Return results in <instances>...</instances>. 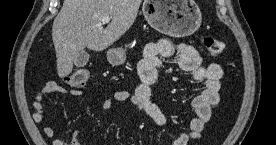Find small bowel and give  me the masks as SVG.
I'll use <instances>...</instances> for the list:
<instances>
[{
  "mask_svg": "<svg viewBox=\"0 0 276 145\" xmlns=\"http://www.w3.org/2000/svg\"><path fill=\"white\" fill-rule=\"evenodd\" d=\"M177 55L178 66L181 70L188 72L194 80L203 84L200 94L192 99V107L196 116L190 121L189 131L180 133L172 145H187L190 141L200 137L206 123L210 120L212 110L219 104L220 80L223 70L217 63L202 65L198 51L191 45L185 43L176 44L169 39H161L146 45L143 58L137 66L140 84L134 91L117 90L106 98L102 107L110 108L116 102H131L139 112L150 117L156 125L166 126L167 119L160 107L151 100V88L157 81L158 68L162 57ZM46 94H70L79 97L82 92L79 89H67L57 82H47L35 95L33 101L34 113L32 115L35 123L44 120V107L42 99ZM44 135L51 139V145H80L79 130L71 133L69 142L55 138L56 130L52 126H46Z\"/></svg>",
  "mask_w": 276,
  "mask_h": 145,
  "instance_id": "c3829d8e",
  "label": "small bowel"
}]
</instances>
